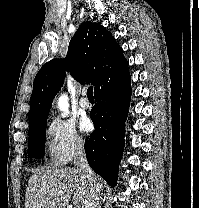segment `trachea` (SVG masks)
Masks as SVG:
<instances>
[{
  "instance_id": "trachea-1",
  "label": "trachea",
  "mask_w": 199,
  "mask_h": 208,
  "mask_svg": "<svg viewBox=\"0 0 199 208\" xmlns=\"http://www.w3.org/2000/svg\"><path fill=\"white\" fill-rule=\"evenodd\" d=\"M87 97L89 99H94V96H93V87H91V86L87 89Z\"/></svg>"
}]
</instances>
